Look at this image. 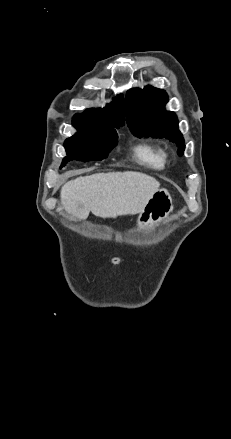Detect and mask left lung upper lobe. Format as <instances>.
Segmentation results:
<instances>
[{"label":"left lung upper lobe","instance_id":"1","mask_svg":"<svg viewBox=\"0 0 231 439\" xmlns=\"http://www.w3.org/2000/svg\"><path fill=\"white\" fill-rule=\"evenodd\" d=\"M168 96L164 90L152 86L131 89L126 95V121L138 137L166 138L178 146V155L185 149L184 139L178 130V120L164 109Z\"/></svg>","mask_w":231,"mask_h":439}]
</instances>
